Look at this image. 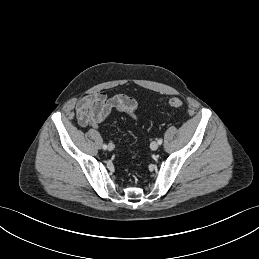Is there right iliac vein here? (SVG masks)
<instances>
[{"instance_id":"1","label":"right iliac vein","mask_w":259,"mask_h":259,"mask_svg":"<svg viewBox=\"0 0 259 259\" xmlns=\"http://www.w3.org/2000/svg\"><path fill=\"white\" fill-rule=\"evenodd\" d=\"M114 149V145L112 144V143H110L109 145H108V150L109 151H112Z\"/></svg>"}]
</instances>
